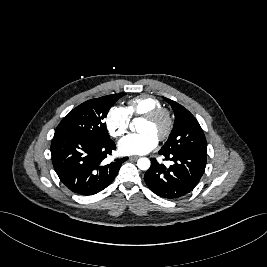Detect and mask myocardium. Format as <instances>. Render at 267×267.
Returning <instances> with one entry per match:
<instances>
[{
    "label": "myocardium",
    "instance_id": "1",
    "mask_svg": "<svg viewBox=\"0 0 267 267\" xmlns=\"http://www.w3.org/2000/svg\"><path fill=\"white\" fill-rule=\"evenodd\" d=\"M143 119L150 122H157L160 120L164 122L163 130L158 136V139L160 141L167 139L173 130L174 119L171 112L167 108L159 107L153 109L152 111L145 114L143 116Z\"/></svg>",
    "mask_w": 267,
    "mask_h": 267
}]
</instances>
